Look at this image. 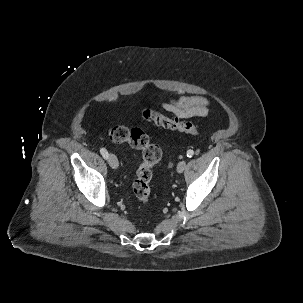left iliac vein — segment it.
<instances>
[{"label": "left iliac vein", "instance_id": "1", "mask_svg": "<svg viewBox=\"0 0 303 303\" xmlns=\"http://www.w3.org/2000/svg\"><path fill=\"white\" fill-rule=\"evenodd\" d=\"M186 168V161L182 160L177 165V172L182 173Z\"/></svg>", "mask_w": 303, "mask_h": 303}]
</instances>
